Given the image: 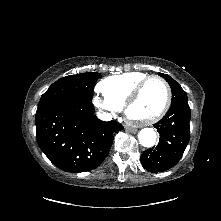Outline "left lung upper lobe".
Returning a JSON list of instances; mask_svg holds the SVG:
<instances>
[{
	"label": "left lung upper lobe",
	"mask_w": 221,
	"mask_h": 221,
	"mask_svg": "<svg viewBox=\"0 0 221 221\" xmlns=\"http://www.w3.org/2000/svg\"><path fill=\"white\" fill-rule=\"evenodd\" d=\"M163 77L171 87L172 91V100L171 105L188 103V98L186 92L182 89L180 84L172 79L169 75L164 73H158Z\"/></svg>",
	"instance_id": "5c2ea615"
}]
</instances>
